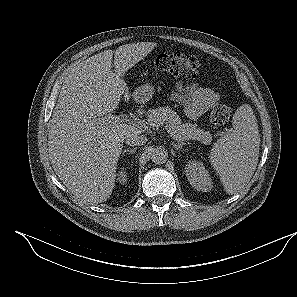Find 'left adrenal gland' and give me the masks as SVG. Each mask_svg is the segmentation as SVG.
<instances>
[{
    "instance_id": "1",
    "label": "left adrenal gland",
    "mask_w": 297,
    "mask_h": 297,
    "mask_svg": "<svg viewBox=\"0 0 297 297\" xmlns=\"http://www.w3.org/2000/svg\"><path fill=\"white\" fill-rule=\"evenodd\" d=\"M172 145L175 148V150H180V149H182V147L184 145H186V143H178V144H176V143L173 142Z\"/></svg>"
}]
</instances>
